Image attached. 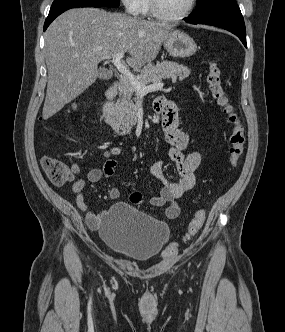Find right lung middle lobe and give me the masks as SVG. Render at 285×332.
Here are the masks:
<instances>
[{"label":"right lung middle lobe","instance_id":"right-lung-middle-lobe-1","mask_svg":"<svg viewBox=\"0 0 285 332\" xmlns=\"http://www.w3.org/2000/svg\"><path fill=\"white\" fill-rule=\"evenodd\" d=\"M119 0H54L50 10L75 7H118Z\"/></svg>","mask_w":285,"mask_h":332}]
</instances>
